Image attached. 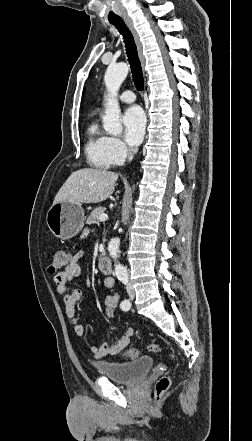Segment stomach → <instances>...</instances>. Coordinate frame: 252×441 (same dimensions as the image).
Masks as SVG:
<instances>
[{
	"mask_svg": "<svg viewBox=\"0 0 252 441\" xmlns=\"http://www.w3.org/2000/svg\"><path fill=\"white\" fill-rule=\"evenodd\" d=\"M84 221V211L80 203H53L46 215L50 231L63 240L76 236L82 229Z\"/></svg>",
	"mask_w": 252,
	"mask_h": 441,
	"instance_id": "1",
	"label": "stomach"
}]
</instances>
